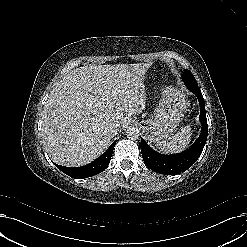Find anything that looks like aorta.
Returning <instances> with one entry per match:
<instances>
[{"label":"aorta","instance_id":"aorta-1","mask_svg":"<svg viewBox=\"0 0 247 247\" xmlns=\"http://www.w3.org/2000/svg\"><path fill=\"white\" fill-rule=\"evenodd\" d=\"M126 136L129 139L136 140L139 137V129L135 127L128 128L126 131Z\"/></svg>","mask_w":247,"mask_h":247}]
</instances>
